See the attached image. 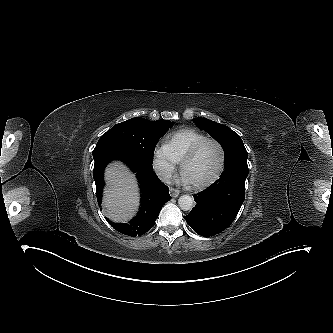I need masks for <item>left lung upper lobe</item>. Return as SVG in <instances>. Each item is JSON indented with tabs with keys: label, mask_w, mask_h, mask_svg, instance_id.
Here are the masks:
<instances>
[{
	"label": "left lung upper lobe",
	"mask_w": 333,
	"mask_h": 333,
	"mask_svg": "<svg viewBox=\"0 0 333 333\" xmlns=\"http://www.w3.org/2000/svg\"><path fill=\"white\" fill-rule=\"evenodd\" d=\"M196 126L216 139L223 147L226 168L219 180L245 184L248 176L247 151L240 136L229 127L206 118H193Z\"/></svg>",
	"instance_id": "5c2ea615"
}]
</instances>
